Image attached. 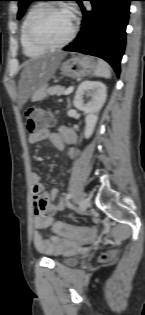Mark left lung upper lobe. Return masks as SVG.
<instances>
[{
	"label": "left lung upper lobe",
	"instance_id": "5c2ea615",
	"mask_svg": "<svg viewBox=\"0 0 145 315\" xmlns=\"http://www.w3.org/2000/svg\"><path fill=\"white\" fill-rule=\"evenodd\" d=\"M16 1L19 2V4H18L19 11H18L17 18L20 19L23 16V14H24L27 6L29 5V3L34 1V0H16ZM75 1H78V0H75Z\"/></svg>",
	"mask_w": 145,
	"mask_h": 315
}]
</instances>
